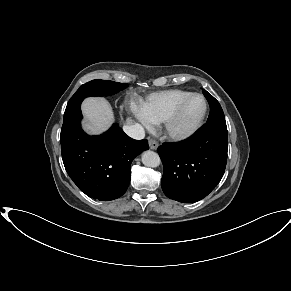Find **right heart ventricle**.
<instances>
[{"label": "right heart ventricle", "mask_w": 291, "mask_h": 291, "mask_svg": "<svg viewBox=\"0 0 291 291\" xmlns=\"http://www.w3.org/2000/svg\"><path fill=\"white\" fill-rule=\"evenodd\" d=\"M190 94L191 92L181 89L156 92L141 102L140 110L148 122L162 123Z\"/></svg>", "instance_id": "e07e8e85"}]
</instances>
